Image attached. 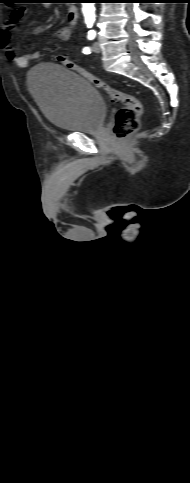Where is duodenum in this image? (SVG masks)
Here are the masks:
<instances>
[{
  "label": "duodenum",
  "instance_id": "duodenum-1",
  "mask_svg": "<svg viewBox=\"0 0 190 483\" xmlns=\"http://www.w3.org/2000/svg\"><path fill=\"white\" fill-rule=\"evenodd\" d=\"M68 21L74 25L79 17L78 8L76 6H70L67 13Z\"/></svg>",
  "mask_w": 190,
  "mask_h": 483
}]
</instances>
